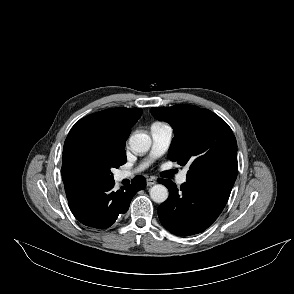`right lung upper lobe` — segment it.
Here are the masks:
<instances>
[{
    "label": "right lung upper lobe",
    "instance_id": "1",
    "mask_svg": "<svg viewBox=\"0 0 294 294\" xmlns=\"http://www.w3.org/2000/svg\"><path fill=\"white\" fill-rule=\"evenodd\" d=\"M140 108H111L80 119L70 130L63 156L82 143H100L125 147L132 126L141 117Z\"/></svg>",
    "mask_w": 294,
    "mask_h": 294
}]
</instances>
